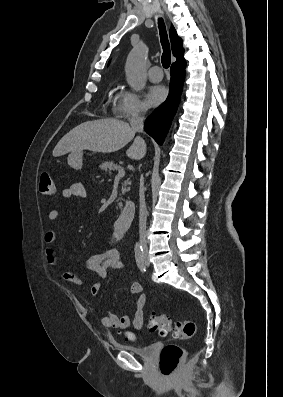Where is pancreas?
<instances>
[{"label": "pancreas", "instance_id": "cf45deb5", "mask_svg": "<svg viewBox=\"0 0 283 397\" xmlns=\"http://www.w3.org/2000/svg\"><path fill=\"white\" fill-rule=\"evenodd\" d=\"M100 168H101V170H103L105 173L111 174V171L119 170V169H121V166L115 164L113 161H111V162H106V161H105V162H102V163H101ZM128 190H129V188L124 187V188L122 189V192L125 193V192H127ZM120 199H121V198H119V200H120ZM118 205H119V207H122V203H119Z\"/></svg>", "mask_w": 283, "mask_h": 397}]
</instances>
